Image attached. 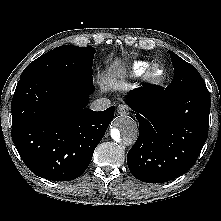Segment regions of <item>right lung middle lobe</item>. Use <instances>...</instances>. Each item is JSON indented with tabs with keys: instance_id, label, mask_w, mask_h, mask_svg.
Here are the masks:
<instances>
[{
	"instance_id": "1",
	"label": "right lung middle lobe",
	"mask_w": 221,
	"mask_h": 221,
	"mask_svg": "<svg viewBox=\"0 0 221 221\" xmlns=\"http://www.w3.org/2000/svg\"><path fill=\"white\" fill-rule=\"evenodd\" d=\"M95 49L91 46H59L33 62L22 72L26 76H49L93 83L92 64Z\"/></svg>"
}]
</instances>
